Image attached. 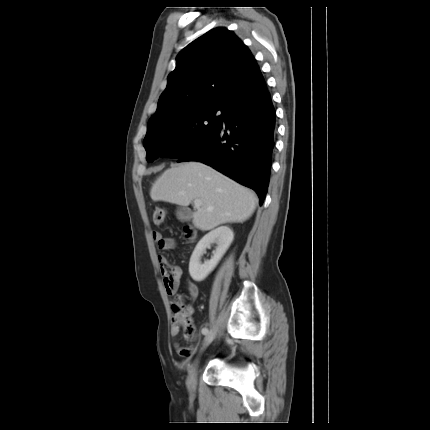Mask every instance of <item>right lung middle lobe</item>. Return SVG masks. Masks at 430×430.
<instances>
[{"label":"right lung middle lobe","mask_w":430,"mask_h":430,"mask_svg":"<svg viewBox=\"0 0 430 430\" xmlns=\"http://www.w3.org/2000/svg\"><path fill=\"white\" fill-rule=\"evenodd\" d=\"M221 107L208 104L187 110L147 127L143 145L147 161L157 157L181 158L211 137L221 125L216 111Z\"/></svg>","instance_id":"dd1d6c3e"}]
</instances>
